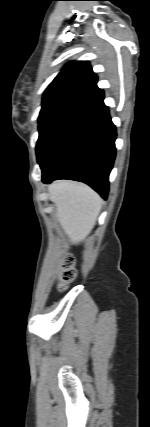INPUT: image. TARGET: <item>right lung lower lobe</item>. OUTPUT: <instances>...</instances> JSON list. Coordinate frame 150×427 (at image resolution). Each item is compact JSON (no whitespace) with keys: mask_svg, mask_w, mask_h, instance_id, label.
Segmentation results:
<instances>
[{"mask_svg":"<svg viewBox=\"0 0 150 427\" xmlns=\"http://www.w3.org/2000/svg\"><path fill=\"white\" fill-rule=\"evenodd\" d=\"M115 139L116 128L102 97L82 109L59 135L41 165L43 183L81 181L107 198Z\"/></svg>","mask_w":150,"mask_h":427,"instance_id":"98d812e1","label":"right lung lower lobe"}]
</instances>
